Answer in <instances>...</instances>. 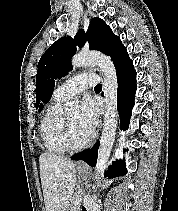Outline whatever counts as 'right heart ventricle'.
<instances>
[{"instance_id":"obj_1","label":"right heart ventricle","mask_w":178,"mask_h":211,"mask_svg":"<svg viewBox=\"0 0 178 211\" xmlns=\"http://www.w3.org/2000/svg\"><path fill=\"white\" fill-rule=\"evenodd\" d=\"M65 101L53 96L52 101L45 110L40 125V134L44 146L50 153L64 154L70 152L63 141V120L61 105Z\"/></svg>"}]
</instances>
